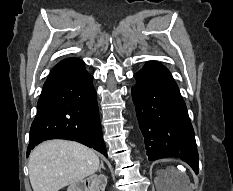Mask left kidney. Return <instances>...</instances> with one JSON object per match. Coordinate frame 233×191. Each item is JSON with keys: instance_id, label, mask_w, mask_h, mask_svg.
<instances>
[{"instance_id": "obj_1", "label": "left kidney", "mask_w": 233, "mask_h": 191, "mask_svg": "<svg viewBox=\"0 0 233 191\" xmlns=\"http://www.w3.org/2000/svg\"><path fill=\"white\" fill-rule=\"evenodd\" d=\"M166 177H167V179H166L167 182H168V180H171V184H170V187H169L170 190L169 191H180V188H181L182 184L179 183V182H174L175 178H174V176L172 174H167Z\"/></svg>"}]
</instances>
